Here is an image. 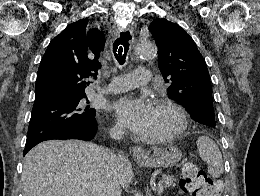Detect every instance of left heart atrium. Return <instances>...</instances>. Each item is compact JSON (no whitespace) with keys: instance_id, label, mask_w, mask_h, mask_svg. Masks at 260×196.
<instances>
[{"instance_id":"1","label":"left heart atrium","mask_w":260,"mask_h":196,"mask_svg":"<svg viewBox=\"0 0 260 196\" xmlns=\"http://www.w3.org/2000/svg\"><path fill=\"white\" fill-rule=\"evenodd\" d=\"M118 121L121 125L137 134L148 132L153 104L144 98L123 97L113 107ZM92 192H117V190H93Z\"/></svg>"}]
</instances>
